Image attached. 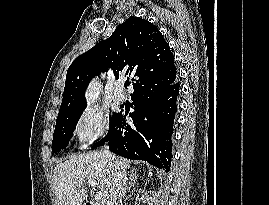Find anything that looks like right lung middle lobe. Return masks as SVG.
<instances>
[{
	"label": "right lung middle lobe",
	"mask_w": 269,
	"mask_h": 205,
	"mask_svg": "<svg viewBox=\"0 0 269 205\" xmlns=\"http://www.w3.org/2000/svg\"><path fill=\"white\" fill-rule=\"evenodd\" d=\"M83 111L84 109L79 112L58 118L56 120V126L52 142V151L54 153H57L62 149L66 148ZM118 115L119 113H116L110 118V124L116 119Z\"/></svg>",
	"instance_id": "dd1d6c3e"
}]
</instances>
